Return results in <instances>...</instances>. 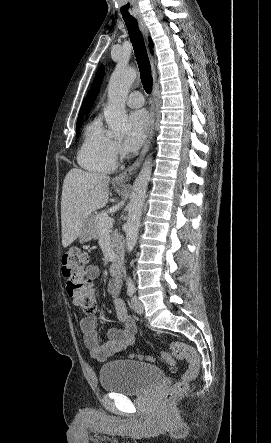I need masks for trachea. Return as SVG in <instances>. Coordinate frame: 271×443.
Listing matches in <instances>:
<instances>
[{"label":"trachea","instance_id":"3493384b","mask_svg":"<svg viewBox=\"0 0 271 443\" xmlns=\"http://www.w3.org/2000/svg\"><path fill=\"white\" fill-rule=\"evenodd\" d=\"M132 0H121L119 2V15L125 21L129 37L132 42L136 60L139 66L140 78L145 91L149 94L152 91V75L147 50L144 44L143 36L139 30L137 20L131 17L130 5Z\"/></svg>","mask_w":271,"mask_h":443}]
</instances>
